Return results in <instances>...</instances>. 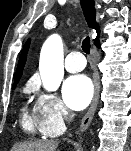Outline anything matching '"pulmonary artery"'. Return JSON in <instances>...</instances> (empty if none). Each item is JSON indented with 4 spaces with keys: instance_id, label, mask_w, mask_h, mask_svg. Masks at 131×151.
<instances>
[{
    "instance_id": "obj_1",
    "label": "pulmonary artery",
    "mask_w": 131,
    "mask_h": 151,
    "mask_svg": "<svg viewBox=\"0 0 131 151\" xmlns=\"http://www.w3.org/2000/svg\"><path fill=\"white\" fill-rule=\"evenodd\" d=\"M64 65L68 72L76 73L85 68L86 61L80 52L72 51L66 56Z\"/></svg>"
}]
</instances>
